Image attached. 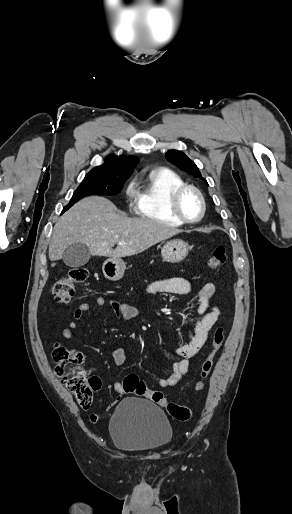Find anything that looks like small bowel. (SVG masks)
<instances>
[{
	"label": "small bowel",
	"instance_id": "small-bowel-1",
	"mask_svg": "<svg viewBox=\"0 0 292 514\" xmlns=\"http://www.w3.org/2000/svg\"><path fill=\"white\" fill-rule=\"evenodd\" d=\"M193 290V284L190 280L173 277L167 279L156 280L150 283L145 291L148 294H176L186 295ZM216 293V286L213 283H205L202 285L195 294L196 312L200 320L192 326H187L188 342L176 348V354L181 357L172 365L171 372L158 381L161 388H168L175 386L182 377L187 375L190 370V360L199 352L204 345L208 333L211 328L218 321L221 310L219 306L212 302ZM106 304L112 308L118 317L124 320L138 319L141 316L139 307L121 302L115 299L107 301L103 296L94 298L92 302H81L77 305L73 313V320L69 322L68 326L63 330L62 336L64 339L69 340L73 337L74 331L77 329L79 323L83 319L84 314L92 307H103ZM112 356L117 366H122L126 361V353L121 347H114L112 349ZM114 389L123 396L124 390L122 384L116 381L113 384ZM116 395L111 401L113 406H117L121 397ZM109 405L108 409L112 410L113 406Z\"/></svg>",
	"mask_w": 292,
	"mask_h": 514
}]
</instances>
